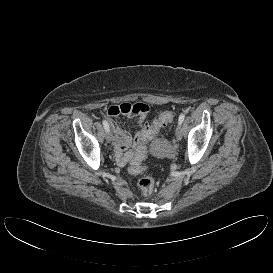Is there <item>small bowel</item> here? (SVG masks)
<instances>
[{
    "label": "small bowel",
    "mask_w": 273,
    "mask_h": 273,
    "mask_svg": "<svg viewBox=\"0 0 273 273\" xmlns=\"http://www.w3.org/2000/svg\"><path fill=\"white\" fill-rule=\"evenodd\" d=\"M150 108L145 103H122L119 105H111L107 109V115L110 119V125L114 132V157L120 166H124L131 160L133 151L129 150L131 146L135 147L142 140V128L149 114ZM119 115L128 117H136V131L132 138L127 132L120 129L112 120Z\"/></svg>",
    "instance_id": "1"
}]
</instances>
